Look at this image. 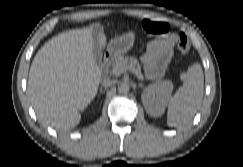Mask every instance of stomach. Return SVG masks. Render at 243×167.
<instances>
[{
    "label": "stomach",
    "mask_w": 243,
    "mask_h": 167,
    "mask_svg": "<svg viewBox=\"0 0 243 167\" xmlns=\"http://www.w3.org/2000/svg\"><path fill=\"white\" fill-rule=\"evenodd\" d=\"M134 40L135 35L132 31L112 39L107 46L108 54L117 57L127 53L133 47Z\"/></svg>",
    "instance_id": "0dacf381"
}]
</instances>
